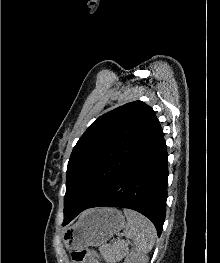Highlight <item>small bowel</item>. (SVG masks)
Returning <instances> with one entry per match:
<instances>
[{
	"mask_svg": "<svg viewBox=\"0 0 220 263\" xmlns=\"http://www.w3.org/2000/svg\"><path fill=\"white\" fill-rule=\"evenodd\" d=\"M87 263H98V261L96 259H90L87 261Z\"/></svg>",
	"mask_w": 220,
	"mask_h": 263,
	"instance_id": "obj_1",
	"label": "small bowel"
}]
</instances>
